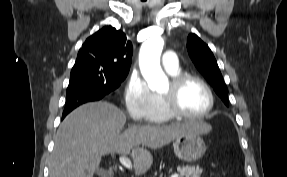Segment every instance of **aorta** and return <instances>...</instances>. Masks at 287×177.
Instances as JSON below:
<instances>
[{
	"label": "aorta",
	"instance_id": "1",
	"mask_svg": "<svg viewBox=\"0 0 287 177\" xmlns=\"http://www.w3.org/2000/svg\"><path fill=\"white\" fill-rule=\"evenodd\" d=\"M163 46L162 37L153 36L142 44L139 53L141 73L152 91H160L168 84V79L160 66Z\"/></svg>",
	"mask_w": 287,
	"mask_h": 177
}]
</instances>
